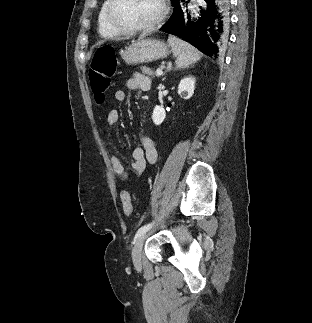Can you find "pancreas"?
Here are the masks:
<instances>
[{
    "label": "pancreas",
    "instance_id": "1",
    "mask_svg": "<svg viewBox=\"0 0 312 323\" xmlns=\"http://www.w3.org/2000/svg\"><path fill=\"white\" fill-rule=\"evenodd\" d=\"M141 70H142V74H147V76H152V78H154V72H152L150 68H146V66H142Z\"/></svg>",
    "mask_w": 312,
    "mask_h": 323
}]
</instances>
